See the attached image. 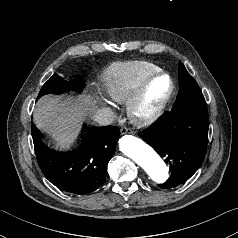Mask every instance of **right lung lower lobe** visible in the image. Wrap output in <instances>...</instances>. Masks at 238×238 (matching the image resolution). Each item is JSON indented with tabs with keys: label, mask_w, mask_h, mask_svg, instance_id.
I'll list each match as a JSON object with an SVG mask.
<instances>
[{
	"label": "right lung lower lobe",
	"mask_w": 238,
	"mask_h": 238,
	"mask_svg": "<svg viewBox=\"0 0 238 238\" xmlns=\"http://www.w3.org/2000/svg\"><path fill=\"white\" fill-rule=\"evenodd\" d=\"M31 134L45 177L60 190L80 195L95 191L105 182L107 165L120 135L116 126L90 127L78 148L63 152L48 147L33 123Z\"/></svg>",
	"instance_id": "right-lung-lower-lobe-1"
}]
</instances>
